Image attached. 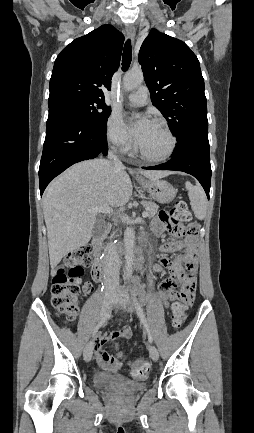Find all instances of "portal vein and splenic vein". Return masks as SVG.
I'll use <instances>...</instances> for the list:
<instances>
[{
    "label": "portal vein and splenic vein",
    "instance_id": "1",
    "mask_svg": "<svg viewBox=\"0 0 254 433\" xmlns=\"http://www.w3.org/2000/svg\"><path fill=\"white\" fill-rule=\"evenodd\" d=\"M90 213H105V214H111L113 212L112 208L108 205H102L99 207H95L89 210ZM143 217L147 216V211H144L142 213Z\"/></svg>",
    "mask_w": 254,
    "mask_h": 433
}]
</instances>
